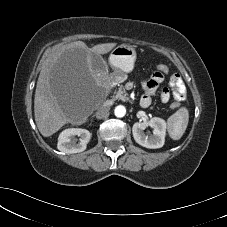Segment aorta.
<instances>
[{
    "mask_svg": "<svg viewBox=\"0 0 227 227\" xmlns=\"http://www.w3.org/2000/svg\"><path fill=\"white\" fill-rule=\"evenodd\" d=\"M114 114L119 118L124 117L126 114V108L123 105H118L114 110Z\"/></svg>",
    "mask_w": 227,
    "mask_h": 227,
    "instance_id": "obj_1",
    "label": "aorta"
}]
</instances>
